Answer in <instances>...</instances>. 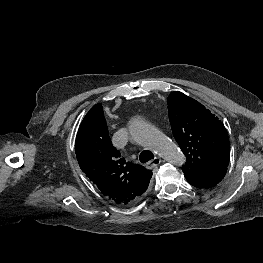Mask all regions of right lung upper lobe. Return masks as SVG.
Returning <instances> with one entry per match:
<instances>
[{"label": "right lung upper lobe", "mask_w": 263, "mask_h": 263, "mask_svg": "<svg viewBox=\"0 0 263 263\" xmlns=\"http://www.w3.org/2000/svg\"><path fill=\"white\" fill-rule=\"evenodd\" d=\"M75 152L80 168L109 200L128 205L146 191L152 172L127 162L112 145L100 103L84 117Z\"/></svg>", "instance_id": "1"}]
</instances>
